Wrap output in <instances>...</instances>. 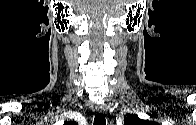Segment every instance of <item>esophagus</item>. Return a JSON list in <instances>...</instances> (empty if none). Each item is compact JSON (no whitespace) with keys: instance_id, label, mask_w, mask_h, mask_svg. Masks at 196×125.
Instances as JSON below:
<instances>
[{"instance_id":"obj_1","label":"esophagus","mask_w":196,"mask_h":125,"mask_svg":"<svg viewBox=\"0 0 196 125\" xmlns=\"http://www.w3.org/2000/svg\"><path fill=\"white\" fill-rule=\"evenodd\" d=\"M96 110L99 114H103L104 113V109L102 105H98L96 106Z\"/></svg>"}]
</instances>
